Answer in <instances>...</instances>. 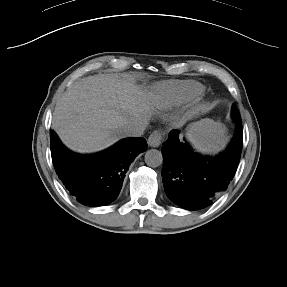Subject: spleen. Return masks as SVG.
I'll return each mask as SVG.
<instances>
[{
    "mask_svg": "<svg viewBox=\"0 0 287 287\" xmlns=\"http://www.w3.org/2000/svg\"><path fill=\"white\" fill-rule=\"evenodd\" d=\"M187 139L197 151L215 154L227 143V129L221 122L203 119L190 126Z\"/></svg>",
    "mask_w": 287,
    "mask_h": 287,
    "instance_id": "1",
    "label": "spleen"
}]
</instances>
